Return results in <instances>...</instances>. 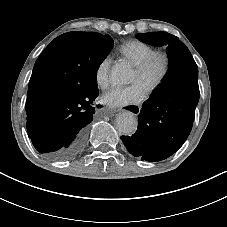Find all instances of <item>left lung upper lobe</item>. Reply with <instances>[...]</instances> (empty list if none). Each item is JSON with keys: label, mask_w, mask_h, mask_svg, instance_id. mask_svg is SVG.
<instances>
[{"label": "left lung upper lobe", "mask_w": 227, "mask_h": 227, "mask_svg": "<svg viewBox=\"0 0 227 227\" xmlns=\"http://www.w3.org/2000/svg\"><path fill=\"white\" fill-rule=\"evenodd\" d=\"M136 37L147 44L153 46H166L167 54L169 58V67L173 63V56L180 50H188L186 45L182 43L178 37L168 34L166 32H151V33H143L137 34Z\"/></svg>", "instance_id": "5c2ea615"}]
</instances>
